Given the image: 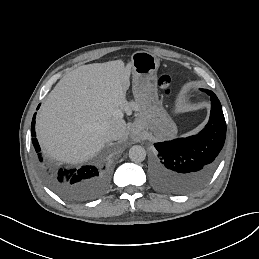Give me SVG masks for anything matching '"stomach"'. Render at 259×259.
<instances>
[{
	"instance_id": "obj_1",
	"label": "stomach",
	"mask_w": 259,
	"mask_h": 259,
	"mask_svg": "<svg viewBox=\"0 0 259 259\" xmlns=\"http://www.w3.org/2000/svg\"><path fill=\"white\" fill-rule=\"evenodd\" d=\"M133 74L152 76L157 73L160 66L159 59L152 53L145 51L135 52L131 57Z\"/></svg>"
}]
</instances>
